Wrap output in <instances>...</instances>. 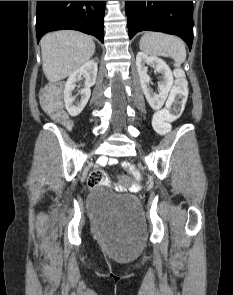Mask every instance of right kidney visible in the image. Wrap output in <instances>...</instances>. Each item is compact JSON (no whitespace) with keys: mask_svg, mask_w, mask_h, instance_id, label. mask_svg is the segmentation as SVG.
Here are the masks:
<instances>
[{"mask_svg":"<svg viewBox=\"0 0 233 295\" xmlns=\"http://www.w3.org/2000/svg\"><path fill=\"white\" fill-rule=\"evenodd\" d=\"M98 65L94 60H90L75 70L67 79L64 88V102L68 113L75 117L79 115L86 106L90 94L91 87L95 84L97 78ZM85 77V87L79 91L80 101L75 102L76 96L72 95L73 89L76 87V82Z\"/></svg>","mask_w":233,"mask_h":295,"instance_id":"right-kidney-1","label":"right kidney"}]
</instances>
